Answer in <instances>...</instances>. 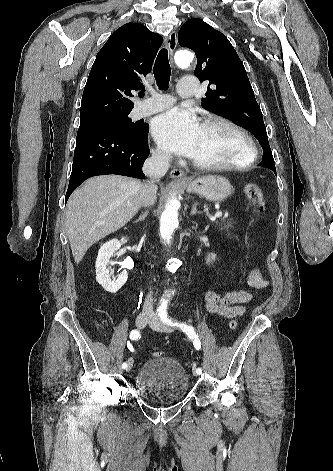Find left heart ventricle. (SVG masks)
Masks as SVG:
<instances>
[{
  "label": "left heart ventricle",
  "mask_w": 333,
  "mask_h": 471,
  "mask_svg": "<svg viewBox=\"0 0 333 471\" xmlns=\"http://www.w3.org/2000/svg\"><path fill=\"white\" fill-rule=\"evenodd\" d=\"M246 147L241 137L221 124L201 126L192 159L201 163H227L241 160Z\"/></svg>",
  "instance_id": "b2bd125f"
}]
</instances>
